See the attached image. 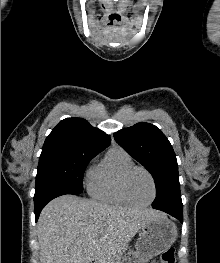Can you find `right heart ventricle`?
Segmentation results:
<instances>
[{
  "label": "right heart ventricle",
  "mask_w": 220,
  "mask_h": 263,
  "mask_svg": "<svg viewBox=\"0 0 220 263\" xmlns=\"http://www.w3.org/2000/svg\"><path fill=\"white\" fill-rule=\"evenodd\" d=\"M133 165L128 153L120 148H111L89 173L87 188L90 196L107 204L129 205L121 191V179Z\"/></svg>",
  "instance_id": "obj_1"
}]
</instances>
